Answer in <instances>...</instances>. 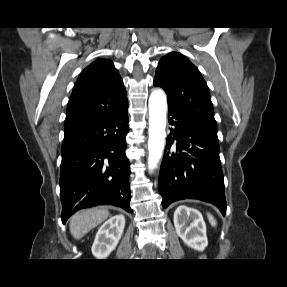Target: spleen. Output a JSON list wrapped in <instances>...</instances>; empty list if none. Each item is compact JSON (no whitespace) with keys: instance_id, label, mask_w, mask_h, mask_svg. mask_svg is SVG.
Wrapping results in <instances>:
<instances>
[{"instance_id":"spleen-1","label":"spleen","mask_w":287,"mask_h":287,"mask_svg":"<svg viewBox=\"0 0 287 287\" xmlns=\"http://www.w3.org/2000/svg\"><path fill=\"white\" fill-rule=\"evenodd\" d=\"M208 219H209V222L212 226H216L217 225V222L215 220V218L211 215V214H208Z\"/></svg>"}]
</instances>
